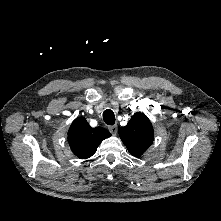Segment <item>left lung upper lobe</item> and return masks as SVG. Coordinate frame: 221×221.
Segmentation results:
<instances>
[{"label": "left lung upper lobe", "mask_w": 221, "mask_h": 221, "mask_svg": "<svg viewBox=\"0 0 221 221\" xmlns=\"http://www.w3.org/2000/svg\"><path fill=\"white\" fill-rule=\"evenodd\" d=\"M119 135L131 155L141 156L153 143L154 131L147 116L134 114L128 124L119 128Z\"/></svg>", "instance_id": "obj_1"}]
</instances>
